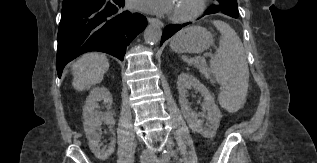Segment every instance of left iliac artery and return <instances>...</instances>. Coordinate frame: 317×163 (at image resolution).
I'll list each match as a JSON object with an SVG mask.
<instances>
[{
	"label": "left iliac artery",
	"instance_id": "left-iliac-artery-1",
	"mask_svg": "<svg viewBox=\"0 0 317 163\" xmlns=\"http://www.w3.org/2000/svg\"><path fill=\"white\" fill-rule=\"evenodd\" d=\"M169 161V156L164 157V162H168Z\"/></svg>",
	"mask_w": 317,
	"mask_h": 163
}]
</instances>
